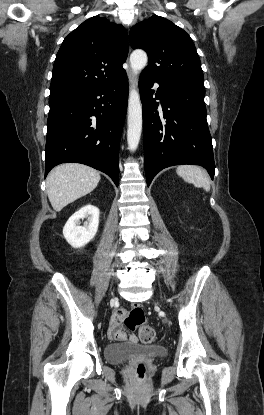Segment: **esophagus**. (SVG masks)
Here are the masks:
<instances>
[{"mask_svg":"<svg viewBox=\"0 0 264 415\" xmlns=\"http://www.w3.org/2000/svg\"><path fill=\"white\" fill-rule=\"evenodd\" d=\"M128 76H129V80L131 82V84H135L136 83V78L131 74V72H128Z\"/></svg>","mask_w":264,"mask_h":415,"instance_id":"34e87169","label":"esophagus"}]
</instances>
